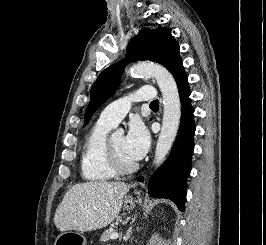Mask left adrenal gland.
Listing matches in <instances>:
<instances>
[{"mask_svg": "<svg viewBox=\"0 0 266 245\" xmlns=\"http://www.w3.org/2000/svg\"><path fill=\"white\" fill-rule=\"evenodd\" d=\"M130 233H131V229H129L128 233H126L125 241H127V239H130V237H131Z\"/></svg>", "mask_w": 266, "mask_h": 245, "instance_id": "a2214340", "label": "left adrenal gland"}]
</instances>
